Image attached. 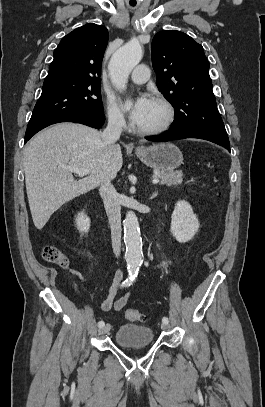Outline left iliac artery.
<instances>
[{
    "mask_svg": "<svg viewBox=\"0 0 265 407\" xmlns=\"http://www.w3.org/2000/svg\"><path fill=\"white\" fill-rule=\"evenodd\" d=\"M162 322L168 324V323H169V319H168L167 317H163V318H162Z\"/></svg>",
    "mask_w": 265,
    "mask_h": 407,
    "instance_id": "left-iliac-artery-1",
    "label": "left iliac artery"
}]
</instances>
